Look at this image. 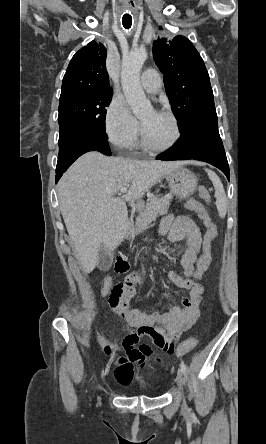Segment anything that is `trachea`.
Returning a JSON list of instances; mask_svg holds the SVG:
<instances>
[{"mask_svg":"<svg viewBox=\"0 0 266 444\" xmlns=\"http://www.w3.org/2000/svg\"><path fill=\"white\" fill-rule=\"evenodd\" d=\"M122 24L125 29H130L132 25V17L130 14H124L122 17Z\"/></svg>","mask_w":266,"mask_h":444,"instance_id":"obj_1","label":"trachea"}]
</instances>
